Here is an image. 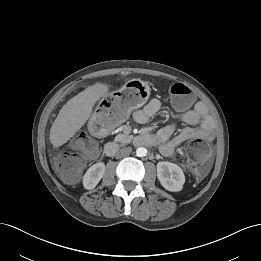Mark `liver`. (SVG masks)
Returning <instances> with one entry per match:
<instances>
[{"mask_svg": "<svg viewBox=\"0 0 261 261\" xmlns=\"http://www.w3.org/2000/svg\"><path fill=\"white\" fill-rule=\"evenodd\" d=\"M108 91V85L95 83L70 99L61 108L50 129L52 145L58 148L69 141L86 123L95 103Z\"/></svg>", "mask_w": 261, "mask_h": 261, "instance_id": "1", "label": "liver"}]
</instances>
